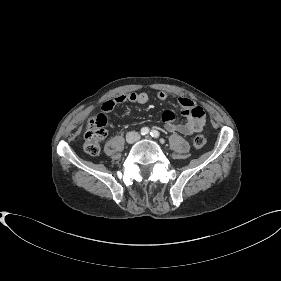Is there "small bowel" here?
<instances>
[{
    "instance_id": "c3829d8e",
    "label": "small bowel",
    "mask_w": 281,
    "mask_h": 281,
    "mask_svg": "<svg viewBox=\"0 0 281 281\" xmlns=\"http://www.w3.org/2000/svg\"><path fill=\"white\" fill-rule=\"evenodd\" d=\"M156 98L157 100L164 102L167 100L168 95L165 92L160 91L157 93ZM149 100L150 96L145 92L122 94L114 99L104 102L101 109L104 112L109 113L116 106L127 101L138 104H146ZM178 102L182 107V115L186 118V122L175 123L174 112L166 110L162 113V120L164 122L165 129L169 132H178L187 136L200 132L205 125L204 110L200 106L196 105L192 100L187 98H179Z\"/></svg>"
}]
</instances>
